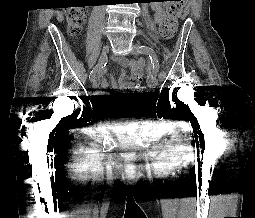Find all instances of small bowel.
Returning a JSON list of instances; mask_svg holds the SVG:
<instances>
[{"label":"small bowel","instance_id":"small-bowel-1","mask_svg":"<svg viewBox=\"0 0 255 218\" xmlns=\"http://www.w3.org/2000/svg\"><path fill=\"white\" fill-rule=\"evenodd\" d=\"M152 10L154 11V19L156 23H159L163 20L165 16V9L162 3L155 2L151 5ZM116 61L122 67L121 74L119 76L118 81L112 80L111 86L116 90H130L134 88L143 78V69H144V61L139 60H128L125 58H117ZM129 68L131 70V76L128 77L125 69ZM109 83L104 78L102 81V88L107 89ZM99 96L102 98V104H108L110 100V96L107 93H100Z\"/></svg>","mask_w":255,"mask_h":218}]
</instances>
